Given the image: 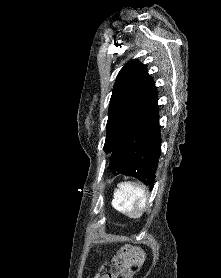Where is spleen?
Returning a JSON list of instances; mask_svg holds the SVG:
<instances>
[{"mask_svg":"<svg viewBox=\"0 0 221 278\" xmlns=\"http://www.w3.org/2000/svg\"><path fill=\"white\" fill-rule=\"evenodd\" d=\"M146 201L141 186L135 183L122 182L118 184V189L114 192L112 206L120 213L138 218L142 215Z\"/></svg>","mask_w":221,"mask_h":278,"instance_id":"spleen-1","label":"spleen"}]
</instances>
